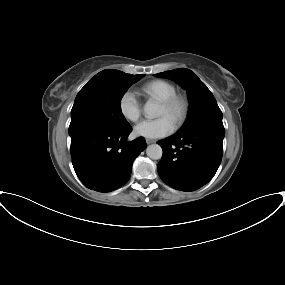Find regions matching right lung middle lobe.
<instances>
[{
    "label": "right lung middle lobe",
    "instance_id": "1",
    "mask_svg": "<svg viewBox=\"0 0 285 285\" xmlns=\"http://www.w3.org/2000/svg\"><path fill=\"white\" fill-rule=\"evenodd\" d=\"M145 75L121 71L95 75L77 94L71 110L69 134L89 125L118 130L129 126L121 112V98Z\"/></svg>",
    "mask_w": 285,
    "mask_h": 285
}]
</instances>
